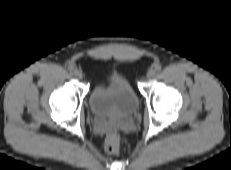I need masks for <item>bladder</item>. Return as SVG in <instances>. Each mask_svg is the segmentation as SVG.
Segmentation results:
<instances>
[{
	"label": "bladder",
	"mask_w": 231,
	"mask_h": 170,
	"mask_svg": "<svg viewBox=\"0 0 231 170\" xmlns=\"http://www.w3.org/2000/svg\"><path fill=\"white\" fill-rule=\"evenodd\" d=\"M137 107L138 97L134 89L119 74H112L97 82L89 96L91 113L102 120L127 117Z\"/></svg>",
	"instance_id": "1"
}]
</instances>
